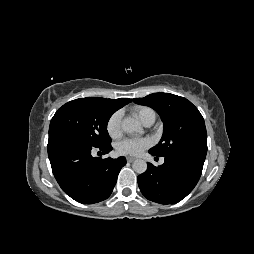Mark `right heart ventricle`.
<instances>
[{
  "instance_id": "1",
  "label": "right heart ventricle",
  "mask_w": 254,
  "mask_h": 254,
  "mask_svg": "<svg viewBox=\"0 0 254 254\" xmlns=\"http://www.w3.org/2000/svg\"><path fill=\"white\" fill-rule=\"evenodd\" d=\"M133 112L143 124L148 121L154 122L156 119L155 111L147 106H137L133 109Z\"/></svg>"
}]
</instances>
